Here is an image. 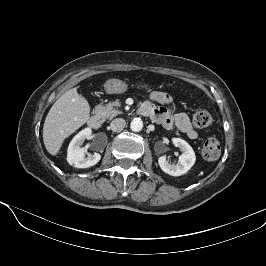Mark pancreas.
I'll list each match as a JSON object with an SVG mask.
<instances>
[{"mask_svg":"<svg viewBox=\"0 0 266 266\" xmlns=\"http://www.w3.org/2000/svg\"><path fill=\"white\" fill-rule=\"evenodd\" d=\"M120 107V102H109L106 105H98L96 107V111L103 117V118H109L112 119L116 117L117 115L121 114L122 112L118 109Z\"/></svg>","mask_w":266,"mask_h":266,"instance_id":"cf45deb5","label":"pancreas"}]
</instances>
